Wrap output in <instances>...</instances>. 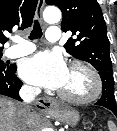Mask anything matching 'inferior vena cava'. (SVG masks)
Listing matches in <instances>:
<instances>
[{
  "instance_id": "602c4592",
  "label": "inferior vena cava",
  "mask_w": 117,
  "mask_h": 131,
  "mask_svg": "<svg viewBox=\"0 0 117 131\" xmlns=\"http://www.w3.org/2000/svg\"><path fill=\"white\" fill-rule=\"evenodd\" d=\"M41 90L38 87L32 86H23L19 95L23 99V102L20 103V117L21 121L18 125L17 131H25L26 129V120L30 115V103L35 99V97L40 94Z\"/></svg>"
}]
</instances>
